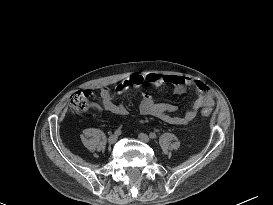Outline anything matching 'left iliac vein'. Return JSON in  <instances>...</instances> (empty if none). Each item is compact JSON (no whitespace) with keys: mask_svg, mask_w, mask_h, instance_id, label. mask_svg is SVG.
<instances>
[{"mask_svg":"<svg viewBox=\"0 0 273 205\" xmlns=\"http://www.w3.org/2000/svg\"><path fill=\"white\" fill-rule=\"evenodd\" d=\"M138 138H139L141 141L145 142V143H149V141H150L149 136L146 135L145 133H140V134L138 135Z\"/></svg>","mask_w":273,"mask_h":205,"instance_id":"left-iliac-vein-1","label":"left iliac vein"}]
</instances>
